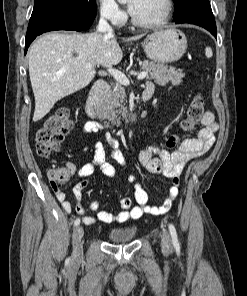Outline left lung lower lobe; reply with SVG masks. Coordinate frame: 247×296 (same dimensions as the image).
I'll return each instance as SVG.
<instances>
[{"instance_id": "0a47b994", "label": "left lung lower lobe", "mask_w": 247, "mask_h": 296, "mask_svg": "<svg viewBox=\"0 0 247 296\" xmlns=\"http://www.w3.org/2000/svg\"><path fill=\"white\" fill-rule=\"evenodd\" d=\"M173 18L176 24L190 23L199 25L217 38L215 19L209 0H199L189 9L179 15L173 16Z\"/></svg>"}]
</instances>
